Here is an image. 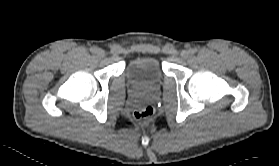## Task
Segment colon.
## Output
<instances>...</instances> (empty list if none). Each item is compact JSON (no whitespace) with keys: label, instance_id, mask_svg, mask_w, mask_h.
<instances>
[{"label":"colon","instance_id":"5ec220e1","mask_svg":"<svg viewBox=\"0 0 279 166\" xmlns=\"http://www.w3.org/2000/svg\"><path fill=\"white\" fill-rule=\"evenodd\" d=\"M154 109L152 106L146 105L137 108L134 111V118L139 124H146L148 123L151 118L153 117Z\"/></svg>","mask_w":279,"mask_h":166}]
</instances>
